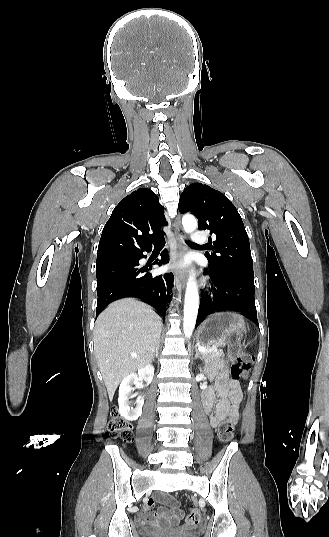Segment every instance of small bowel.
<instances>
[{
	"instance_id": "c3829d8e",
	"label": "small bowel",
	"mask_w": 329,
	"mask_h": 537,
	"mask_svg": "<svg viewBox=\"0 0 329 537\" xmlns=\"http://www.w3.org/2000/svg\"><path fill=\"white\" fill-rule=\"evenodd\" d=\"M210 375L215 379V386L208 388L203 393V406L205 412L210 417L212 427L218 428L226 420L237 419L239 402L241 400L240 383L235 378L229 377L228 368L222 363H218L211 368ZM219 396V401L214 405L215 395ZM165 506L153 511L155 499H148L145 504L144 518L154 525L163 528L175 527L182 518L181 509L173 502L169 495L158 497Z\"/></svg>"
}]
</instances>
